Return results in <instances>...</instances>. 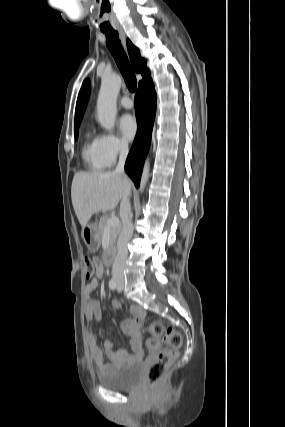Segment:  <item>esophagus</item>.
<instances>
[{"mask_svg":"<svg viewBox=\"0 0 285 427\" xmlns=\"http://www.w3.org/2000/svg\"><path fill=\"white\" fill-rule=\"evenodd\" d=\"M119 33H120V38L122 40L123 43H125V34L123 32V30L120 28L118 29Z\"/></svg>","mask_w":285,"mask_h":427,"instance_id":"34e87169","label":"esophagus"}]
</instances>
